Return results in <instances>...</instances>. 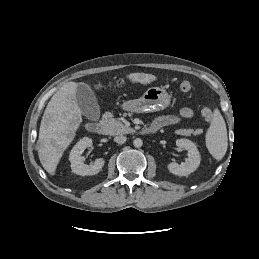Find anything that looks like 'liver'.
I'll return each mask as SVG.
<instances>
[{
    "mask_svg": "<svg viewBox=\"0 0 259 259\" xmlns=\"http://www.w3.org/2000/svg\"><path fill=\"white\" fill-rule=\"evenodd\" d=\"M127 78L132 83L143 85L157 80L155 75L147 73H130ZM78 84L72 81L64 84L50 99L41 120L37 141L38 156L50 175H55L64 151L82 123V112L76 101Z\"/></svg>",
    "mask_w": 259,
    "mask_h": 259,
    "instance_id": "obj_1",
    "label": "liver"
}]
</instances>
